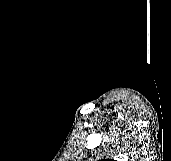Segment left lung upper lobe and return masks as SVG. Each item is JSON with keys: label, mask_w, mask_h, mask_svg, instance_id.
I'll list each match as a JSON object with an SVG mask.
<instances>
[{"label": "left lung upper lobe", "mask_w": 171, "mask_h": 161, "mask_svg": "<svg viewBox=\"0 0 171 161\" xmlns=\"http://www.w3.org/2000/svg\"><path fill=\"white\" fill-rule=\"evenodd\" d=\"M100 161H114V160H111V159H103V160H100Z\"/></svg>", "instance_id": "5c2ea615"}]
</instances>
